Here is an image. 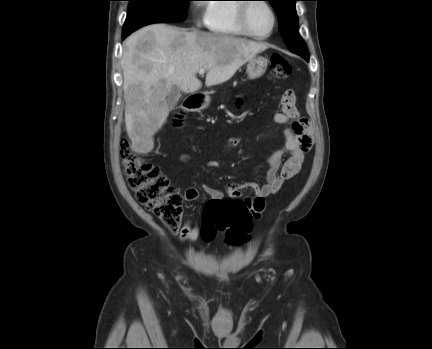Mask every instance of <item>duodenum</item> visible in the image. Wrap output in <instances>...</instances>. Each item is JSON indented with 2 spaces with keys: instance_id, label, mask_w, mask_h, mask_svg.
<instances>
[{
  "instance_id": "410a0bca",
  "label": "duodenum",
  "mask_w": 432,
  "mask_h": 349,
  "mask_svg": "<svg viewBox=\"0 0 432 349\" xmlns=\"http://www.w3.org/2000/svg\"><path fill=\"white\" fill-rule=\"evenodd\" d=\"M202 103V98L199 96H191L187 98L183 103V109L186 112L196 111ZM176 124H179V120L176 121Z\"/></svg>"
}]
</instances>
